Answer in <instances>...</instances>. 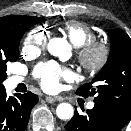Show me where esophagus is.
<instances>
[{
    "mask_svg": "<svg viewBox=\"0 0 131 131\" xmlns=\"http://www.w3.org/2000/svg\"><path fill=\"white\" fill-rule=\"evenodd\" d=\"M46 102L48 103H53L55 101H61L62 99L61 98H57V97H51V96H47L45 98Z\"/></svg>",
    "mask_w": 131,
    "mask_h": 131,
    "instance_id": "1",
    "label": "esophagus"
}]
</instances>
